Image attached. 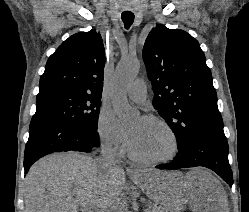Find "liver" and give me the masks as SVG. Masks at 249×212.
<instances>
[{
	"label": "liver",
	"mask_w": 249,
	"mask_h": 212,
	"mask_svg": "<svg viewBox=\"0 0 249 212\" xmlns=\"http://www.w3.org/2000/svg\"><path fill=\"white\" fill-rule=\"evenodd\" d=\"M122 166H102L89 154H49L31 166L25 178L26 212H111L125 190ZM154 204L168 212H229L228 196L219 180L205 168L191 172L136 170L130 176Z\"/></svg>",
	"instance_id": "liver-1"
}]
</instances>
